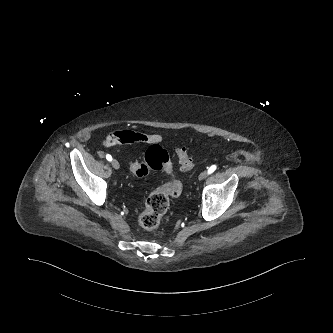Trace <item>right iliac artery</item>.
<instances>
[{
	"label": "right iliac artery",
	"instance_id": "obj_1",
	"mask_svg": "<svg viewBox=\"0 0 333 333\" xmlns=\"http://www.w3.org/2000/svg\"><path fill=\"white\" fill-rule=\"evenodd\" d=\"M106 159H107L108 161H112V156H111L110 154H107V155H106Z\"/></svg>",
	"mask_w": 333,
	"mask_h": 333
}]
</instances>
